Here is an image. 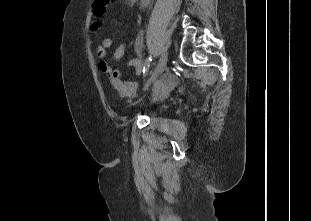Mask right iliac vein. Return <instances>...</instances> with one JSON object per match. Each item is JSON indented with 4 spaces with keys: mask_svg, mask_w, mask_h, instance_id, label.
I'll list each match as a JSON object with an SVG mask.
<instances>
[{
    "mask_svg": "<svg viewBox=\"0 0 311 221\" xmlns=\"http://www.w3.org/2000/svg\"><path fill=\"white\" fill-rule=\"evenodd\" d=\"M167 58H168L167 53H163L153 75L148 80V82L145 84L143 88L144 91L147 90L150 87V85L154 83L158 79V77L161 75V73L164 71V68L167 63Z\"/></svg>",
    "mask_w": 311,
    "mask_h": 221,
    "instance_id": "right-iliac-vein-1",
    "label": "right iliac vein"
}]
</instances>
